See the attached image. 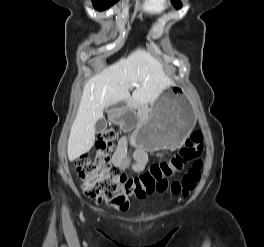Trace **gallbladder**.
I'll use <instances>...</instances> for the list:
<instances>
[{"mask_svg": "<svg viewBox=\"0 0 264 247\" xmlns=\"http://www.w3.org/2000/svg\"><path fill=\"white\" fill-rule=\"evenodd\" d=\"M106 120L104 118H100L96 121L95 123V133H100L101 131H103L104 128H106Z\"/></svg>", "mask_w": 264, "mask_h": 247, "instance_id": "gallbladder-1", "label": "gallbladder"}]
</instances>
